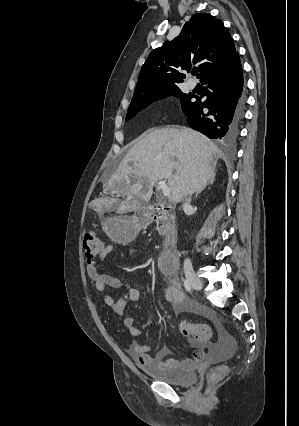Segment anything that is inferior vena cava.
<instances>
[{"mask_svg":"<svg viewBox=\"0 0 299 426\" xmlns=\"http://www.w3.org/2000/svg\"><path fill=\"white\" fill-rule=\"evenodd\" d=\"M190 201H191V199L190 198H186L185 199V202L183 203V208H187V207H189L190 206ZM192 265H191V261H190V259H186L185 260V262H184V267L185 268H188V267H191Z\"/></svg>","mask_w":299,"mask_h":426,"instance_id":"obj_1","label":"inferior vena cava"}]
</instances>
